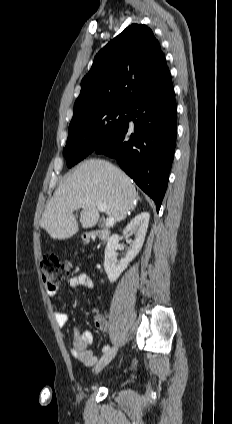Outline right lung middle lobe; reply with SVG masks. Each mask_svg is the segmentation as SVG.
I'll use <instances>...</instances> for the list:
<instances>
[{"mask_svg":"<svg viewBox=\"0 0 232 424\" xmlns=\"http://www.w3.org/2000/svg\"><path fill=\"white\" fill-rule=\"evenodd\" d=\"M131 106L106 105L89 108L74 116L63 154L68 168L91 154L101 143L127 124Z\"/></svg>","mask_w":232,"mask_h":424,"instance_id":"obj_1","label":"right lung middle lobe"}]
</instances>
